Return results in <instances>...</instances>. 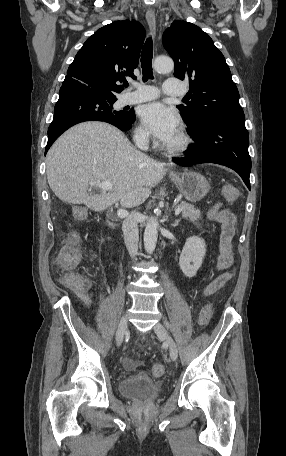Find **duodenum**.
Wrapping results in <instances>:
<instances>
[{"label": "duodenum", "instance_id": "duodenum-1", "mask_svg": "<svg viewBox=\"0 0 286 456\" xmlns=\"http://www.w3.org/2000/svg\"><path fill=\"white\" fill-rule=\"evenodd\" d=\"M111 230H112V232H113V233H115V231H116V227H115V225H114V224H112V225H111Z\"/></svg>", "mask_w": 286, "mask_h": 456}]
</instances>
